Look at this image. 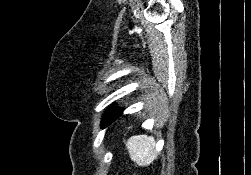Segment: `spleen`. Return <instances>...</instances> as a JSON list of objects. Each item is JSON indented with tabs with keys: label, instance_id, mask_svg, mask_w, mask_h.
Segmentation results:
<instances>
[{
	"label": "spleen",
	"instance_id": "spleen-1",
	"mask_svg": "<svg viewBox=\"0 0 251 175\" xmlns=\"http://www.w3.org/2000/svg\"><path fill=\"white\" fill-rule=\"evenodd\" d=\"M156 141L152 135H133L126 143L129 155L138 165H150L157 157Z\"/></svg>",
	"mask_w": 251,
	"mask_h": 175
}]
</instances>
